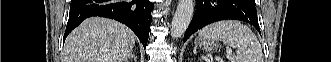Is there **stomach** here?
Returning <instances> with one entry per match:
<instances>
[{"instance_id": "0dacf381", "label": "stomach", "mask_w": 331, "mask_h": 62, "mask_svg": "<svg viewBox=\"0 0 331 62\" xmlns=\"http://www.w3.org/2000/svg\"><path fill=\"white\" fill-rule=\"evenodd\" d=\"M196 47H199L208 52H213L218 48V40L217 39H205V38H197L195 41Z\"/></svg>"}]
</instances>
